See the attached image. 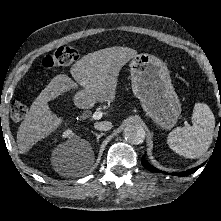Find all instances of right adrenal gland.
<instances>
[{
  "instance_id": "obj_1",
  "label": "right adrenal gland",
  "mask_w": 221,
  "mask_h": 221,
  "mask_svg": "<svg viewBox=\"0 0 221 221\" xmlns=\"http://www.w3.org/2000/svg\"><path fill=\"white\" fill-rule=\"evenodd\" d=\"M92 134H94V135L96 136L97 142H99V139H100L105 133H100V134H98V133L92 131Z\"/></svg>"
}]
</instances>
